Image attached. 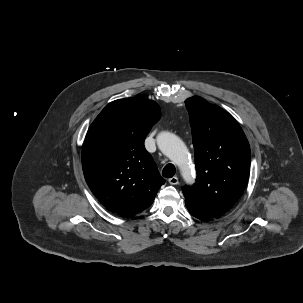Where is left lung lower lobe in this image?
<instances>
[{
	"label": "left lung lower lobe",
	"mask_w": 303,
	"mask_h": 303,
	"mask_svg": "<svg viewBox=\"0 0 303 303\" xmlns=\"http://www.w3.org/2000/svg\"><path fill=\"white\" fill-rule=\"evenodd\" d=\"M186 207H187L188 211L190 212V214H192L194 217H196L202 221L208 222L213 219V217L209 216L208 214H206L204 212L192 209L188 206H186Z\"/></svg>",
	"instance_id": "1"
}]
</instances>
